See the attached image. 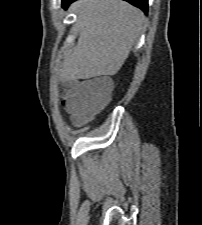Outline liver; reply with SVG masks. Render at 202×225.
Segmentation results:
<instances>
[{
  "instance_id": "liver-1",
  "label": "liver",
  "mask_w": 202,
  "mask_h": 225,
  "mask_svg": "<svg viewBox=\"0 0 202 225\" xmlns=\"http://www.w3.org/2000/svg\"><path fill=\"white\" fill-rule=\"evenodd\" d=\"M71 10L79 38L63 61L62 79L116 74L144 28V13L122 0H81Z\"/></svg>"
}]
</instances>
